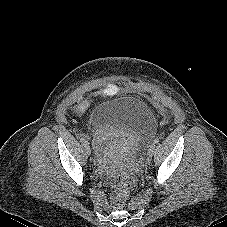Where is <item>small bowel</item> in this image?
Here are the masks:
<instances>
[{
	"label": "small bowel",
	"mask_w": 227,
	"mask_h": 227,
	"mask_svg": "<svg viewBox=\"0 0 227 227\" xmlns=\"http://www.w3.org/2000/svg\"><path fill=\"white\" fill-rule=\"evenodd\" d=\"M118 93H119V88L112 83L107 84L102 90L99 91V94L105 97L115 96ZM83 106L84 104L81 105V108ZM116 146H117L116 139H110L109 141L99 140L96 142V148L103 153L112 151L113 149H115Z\"/></svg>",
	"instance_id": "obj_1"
}]
</instances>
